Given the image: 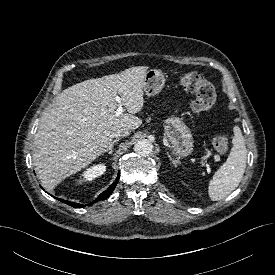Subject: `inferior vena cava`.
<instances>
[{"instance_id": "602c4592", "label": "inferior vena cava", "mask_w": 275, "mask_h": 275, "mask_svg": "<svg viewBox=\"0 0 275 275\" xmlns=\"http://www.w3.org/2000/svg\"><path fill=\"white\" fill-rule=\"evenodd\" d=\"M129 133H130L129 130L121 129V130L117 131V132L114 134V136H115L116 138L125 137V136H128Z\"/></svg>"}]
</instances>
